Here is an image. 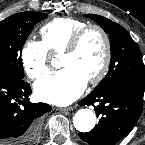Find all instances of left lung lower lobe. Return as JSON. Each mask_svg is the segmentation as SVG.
Returning a JSON list of instances; mask_svg holds the SVG:
<instances>
[{
  "instance_id": "obj_1",
  "label": "left lung lower lobe",
  "mask_w": 145,
  "mask_h": 145,
  "mask_svg": "<svg viewBox=\"0 0 145 145\" xmlns=\"http://www.w3.org/2000/svg\"><path fill=\"white\" fill-rule=\"evenodd\" d=\"M144 88L120 84L100 93H90L80 105H93L102 117L95 128L79 133L91 145H114L134 127L143 108Z\"/></svg>"
}]
</instances>
